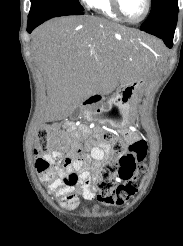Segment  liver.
<instances>
[{"label":"liver","mask_w":183,"mask_h":246,"mask_svg":"<svg viewBox=\"0 0 183 246\" xmlns=\"http://www.w3.org/2000/svg\"><path fill=\"white\" fill-rule=\"evenodd\" d=\"M133 38L155 51L162 47L134 29L88 15L57 18L33 31L32 56L58 117L68 116L92 95L109 94L119 83L148 74L153 56L131 43Z\"/></svg>","instance_id":"6515ba94"}]
</instances>
